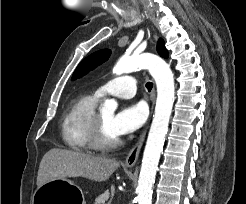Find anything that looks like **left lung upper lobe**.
Masks as SVG:
<instances>
[{"instance_id":"obj_1","label":"left lung upper lobe","mask_w":246,"mask_h":204,"mask_svg":"<svg viewBox=\"0 0 246 204\" xmlns=\"http://www.w3.org/2000/svg\"><path fill=\"white\" fill-rule=\"evenodd\" d=\"M157 51L162 57H168V51L166 50L164 41L162 39H160L158 42ZM110 54L111 51L109 49H102L86 57L76 68L75 72L73 73L72 80L80 78L87 74L90 70H93L95 67L106 61Z\"/></svg>"}]
</instances>
